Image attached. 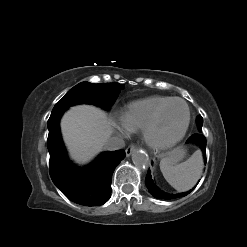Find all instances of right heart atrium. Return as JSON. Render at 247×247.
Listing matches in <instances>:
<instances>
[{"instance_id": "right-heart-atrium-1", "label": "right heart atrium", "mask_w": 247, "mask_h": 247, "mask_svg": "<svg viewBox=\"0 0 247 247\" xmlns=\"http://www.w3.org/2000/svg\"><path fill=\"white\" fill-rule=\"evenodd\" d=\"M118 127L121 131H123L124 133H128L130 131L129 126L127 125L124 117L120 118L118 120Z\"/></svg>"}]
</instances>
